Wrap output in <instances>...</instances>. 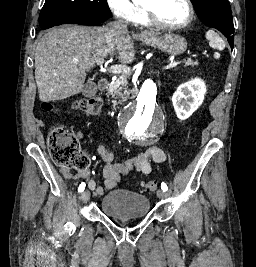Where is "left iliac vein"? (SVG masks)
<instances>
[{
    "label": "left iliac vein",
    "instance_id": "obj_1",
    "mask_svg": "<svg viewBox=\"0 0 256 267\" xmlns=\"http://www.w3.org/2000/svg\"><path fill=\"white\" fill-rule=\"evenodd\" d=\"M157 197L159 199H164L166 197V193L163 190L159 189L157 190Z\"/></svg>",
    "mask_w": 256,
    "mask_h": 267
}]
</instances>
